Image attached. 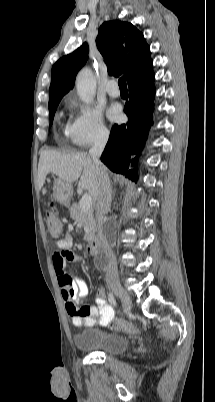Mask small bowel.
Instances as JSON below:
<instances>
[{"mask_svg":"<svg viewBox=\"0 0 215 402\" xmlns=\"http://www.w3.org/2000/svg\"><path fill=\"white\" fill-rule=\"evenodd\" d=\"M81 260L82 258L72 250L70 236L66 235L56 242L52 261L66 311L75 327L108 326L113 321L114 310L106 301L105 289L100 287L97 290V306L83 305V299L88 294V286L80 277H73L67 271L69 262Z\"/></svg>","mask_w":215,"mask_h":402,"instance_id":"small-bowel-1","label":"small bowel"}]
</instances>
